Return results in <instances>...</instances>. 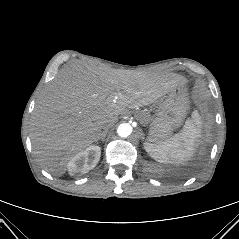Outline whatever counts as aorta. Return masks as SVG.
<instances>
[{"instance_id":"762f6f07","label":"aorta","mask_w":239,"mask_h":239,"mask_svg":"<svg viewBox=\"0 0 239 239\" xmlns=\"http://www.w3.org/2000/svg\"><path fill=\"white\" fill-rule=\"evenodd\" d=\"M117 133L120 137H128L132 133V127L128 123H122L118 126Z\"/></svg>"}]
</instances>
